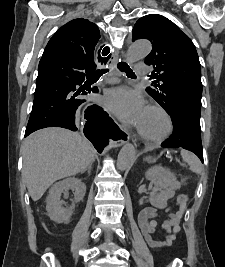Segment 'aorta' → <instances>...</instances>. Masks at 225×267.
<instances>
[{
  "mask_svg": "<svg viewBox=\"0 0 225 267\" xmlns=\"http://www.w3.org/2000/svg\"><path fill=\"white\" fill-rule=\"evenodd\" d=\"M152 47L148 41H136L130 45L126 54L128 63H134L145 58L151 51ZM135 148L131 144L124 145L117 158V167L119 170H127L130 168L135 160Z\"/></svg>",
  "mask_w": 225,
  "mask_h": 267,
  "instance_id": "762f6f07",
  "label": "aorta"
}]
</instances>
